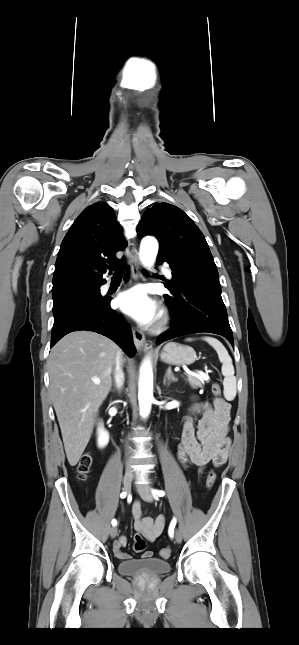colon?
<instances>
[{
  "instance_id": "5ec220e1",
  "label": "colon",
  "mask_w": 299,
  "mask_h": 645,
  "mask_svg": "<svg viewBox=\"0 0 299 645\" xmlns=\"http://www.w3.org/2000/svg\"><path fill=\"white\" fill-rule=\"evenodd\" d=\"M212 393L216 397H220L221 395V387L218 383H214L211 387ZM93 465V458L89 453H85L82 455V457L79 460L78 466H77V471L79 478L84 480L87 478L89 475ZM216 480V474L214 471H210L207 475L206 478V486L208 489H211L215 483ZM146 548V543L143 539L142 536L136 534L134 536V551L137 553L144 552ZM160 555L163 558H169L171 555V550L169 548H163L160 550Z\"/></svg>"
}]
</instances>
